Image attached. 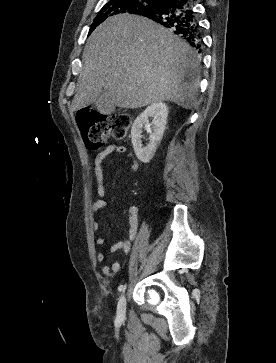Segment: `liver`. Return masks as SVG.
<instances>
[{"label": "liver", "instance_id": "liver-1", "mask_svg": "<svg viewBox=\"0 0 276 363\" xmlns=\"http://www.w3.org/2000/svg\"><path fill=\"white\" fill-rule=\"evenodd\" d=\"M83 60L73 111L96 102L103 90L124 109L162 101L189 109L198 93L196 52L145 17L123 14L107 19L88 38Z\"/></svg>", "mask_w": 276, "mask_h": 363}]
</instances>
